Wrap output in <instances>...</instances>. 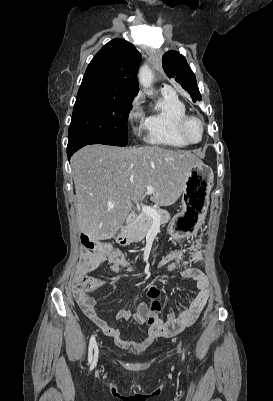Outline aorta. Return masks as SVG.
<instances>
[{
  "mask_svg": "<svg viewBox=\"0 0 273 401\" xmlns=\"http://www.w3.org/2000/svg\"><path fill=\"white\" fill-rule=\"evenodd\" d=\"M139 82L145 89L146 94L151 95L152 93L148 90L151 87L153 81V74L150 68L145 64L139 70Z\"/></svg>",
  "mask_w": 273,
  "mask_h": 401,
  "instance_id": "762f6f07",
  "label": "aorta"
}]
</instances>
